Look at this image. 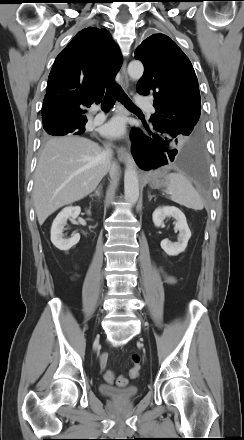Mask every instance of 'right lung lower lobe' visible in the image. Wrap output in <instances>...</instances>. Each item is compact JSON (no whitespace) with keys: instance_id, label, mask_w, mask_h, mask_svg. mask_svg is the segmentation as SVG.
<instances>
[{"instance_id":"right-lung-lower-lobe-1","label":"right lung lower lobe","mask_w":244,"mask_h":440,"mask_svg":"<svg viewBox=\"0 0 244 440\" xmlns=\"http://www.w3.org/2000/svg\"><path fill=\"white\" fill-rule=\"evenodd\" d=\"M84 127H85V124H83V125L71 124L68 127V131L74 132V133H76V135H79L84 132Z\"/></svg>"}]
</instances>
